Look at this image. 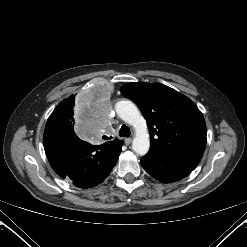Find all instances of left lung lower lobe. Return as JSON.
Returning a JSON list of instances; mask_svg holds the SVG:
<instances>
[{
	"label": "left lung lower lobe",
	"instance_id": "left-lung-lower-lobe-1",
	"mask_svg": "<svg viewBox=\"0 0 247 247\" xmlns=\"http://www.w3.org/2000/svg\"><path fill=\"white\" fill-rule=\"evenodd\" d=\"M203 151L183 150L164 152L150 149L141 159L144 169L163 183L178 181L190 174L198 165Z\"/></svg>",
	"mask_w": 247,
	"mask_h": 247
}]
</instances>
